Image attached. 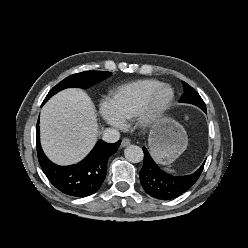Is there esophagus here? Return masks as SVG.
Instances as JSON below:
<instances>
[{
	"mask_svg": "<svg viewBox=\"0 0 248 248\" xmlns=\"http://www.w3.org/2000/svg\"><path fill=\"white\" fill-rule=\"evenodd\" d=\"M130 144H131V140L130 139H128V138H123L122 139V142H121V146L122 147H126V146H128Z\"/></svg>",
	"mask_w": 248,
	"mask_h": 248,
	"instance_id": "1",
	"label": "esophagus"
}]
</instances>
